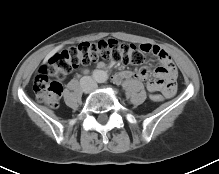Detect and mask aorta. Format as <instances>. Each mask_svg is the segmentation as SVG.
Segmentation results:
<instances>
[{"mask_svg": "<svg viewBox=\"0 0 219 174\" xmlns=\"http://www.w3.org/2000/svg\"><path fill=\"white\" fill-rule=\"evenodd\" d=\"M95 79L99 83H104L108 79V74L104 70H97L95 73Z\"/></svg>", "mask_w": 219, "mask_h": 174, "instance_id": "762f6f07", "label": "aorta"}]
</instances>
